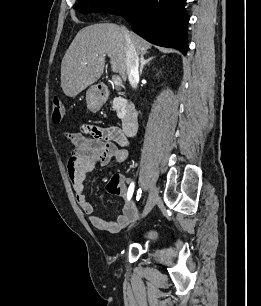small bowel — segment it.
<instances>
[{
  "mask_svg": "<svg viewBox=\"0 0 261 306\" xmlns=\"http://www.w3.org/2000/svg\"><path fill=\"white\" fill-rule=\"evenodd\" d=\"M67 137L74 146L68 159L67 169L77 203L95 228L110 234L120 232L138 215L137 205L131 199L132 195L128 198L132 179L115 174L117 180L114 179V175L107 185L110 193L120 195L125 201L122 214L115 220L95 215L94 206L86 197L85 180L88 173L97 165H106L113 160L121 163L127 159L126 137L117 128L94 125L84 127L82 132H70Z\"/></svg>",
  "mask_w": 261,
  "mask_h": 306,
  "instance_id": "c3829d8e",
  "label": "small bowel"
}]
</instances>
